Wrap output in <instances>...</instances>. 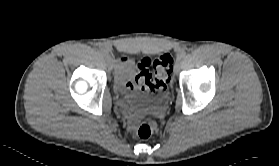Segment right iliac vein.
I'll list each match as a JSON object with an SVG mask.
<instances>
[{"instance_id": "right-iliac-vein-1", "label": "right iliac vein", "mask_w": 279, "mask_h": 166, "mask_svg": "<svg viewBox=\"0 0 279 166\" xmlns=\"http://www.w3.org/2000/svg\"><path fill=\"white\" fill-rule=\"evenodd\" d=\"M106 62H107V66L109 69H113L114 68V60L112 57H110L109 55L106 56Z\"/></svg>"}]
</instances>
